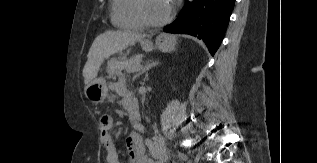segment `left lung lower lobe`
I'll return each mask as SVG.
<instances>
[{
    "instance_id": "0a47b994",
    "label": "left lung lower lobe",
    "mask_w": 317,
    "mask_h": 163,
    "mask_svg": "<svg viewBox=\"0 0 317 163\" xmlns=\"http://www.w3.org/2000/svg\"><path fill=\"white\" fill-rule=\"evenodd\" d=\"M234 3L235 0H187L178 18L164 31L198 37L214 55L223 40Z\"/></svg>"
}]
</instances>
